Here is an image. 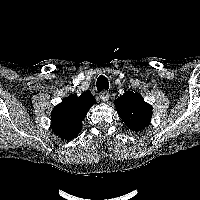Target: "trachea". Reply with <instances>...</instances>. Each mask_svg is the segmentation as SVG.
Masks as SVG:
<instances>
[{
  "mask_svg": "<svg viewBox=\"0 0 200 200\" xmlns=\"http://www.w3.org/2000/svg\"><path fill=\"white\" fill-rule=\"evenodd\" d=\"M96 86L98 91L108 90L109 89L108 79L104 75H100L97 79Z\"/></svg>",
  "mask_w": 200,
  "mask_h": 200,
  "instance_id": "1",
  "label": "trachea"
}]
</instances>
